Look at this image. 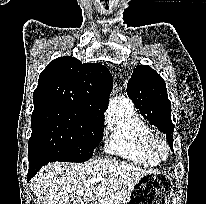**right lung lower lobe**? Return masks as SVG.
<instances>
[{"instance_id":"98d812e1","label":"right lung lower lobe","mask_w":206,"mask_h":204,"mask_svg":"<svg viewBox=\"0 0 206 204\" xmlns=\"http://www.w3.org/2000/svg\"><path fill=\"white\" fill-rule=\"evenodd\" d=\"M47 163H49V161L45 160L43 157L29 158L27 181H29L37 173V171Z\"/></svg>"}]
</instances>
